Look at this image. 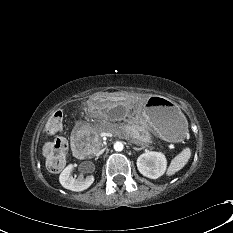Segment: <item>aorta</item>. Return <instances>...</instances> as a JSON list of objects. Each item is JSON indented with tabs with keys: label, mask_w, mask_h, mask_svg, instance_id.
Listing matches in <instances>:
<instances>
[{
	"label": "aorta",
	"mask_w": 233,
	"mask_h": 233,
	"mask_svg": "<svg viewBox=\"0 0 233 233\" xmlns=\"http://www.w3.org/2000/svg\"><path fill=\"white\" fill-rule=\"evenodd\" d=\"M123 148H124V145H123L122 142L117 141V142L114 143V150L115 151L120 152V151L123 150Z\"/></svg>",
	"instance_id": "obj_1"
}]
</instances>
